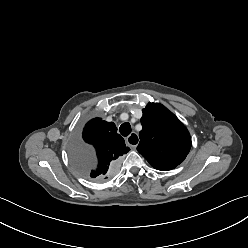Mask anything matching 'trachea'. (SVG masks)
Masks as SVG:
<instances>
[{
	"label": "trachea",
	"instance_id": "3493384b",
	"mask_svg": "<svg viewBox=\"0 0 248 248\" xmlns=\"http://www.w3.org/2000/svg\"><path fill=\"white\" fill-rule=\"evenodd\" d=\"M119 131L120 133L123 135V136H128L130 133H131V126L129 123H123L120 128H119Z\"/></svg>",
	"mask_w": 248,
	"mask_h": 248
}]
</instances>
